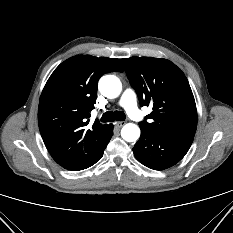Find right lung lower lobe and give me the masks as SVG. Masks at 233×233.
Masks as SVG:
<instances>
[{
  "instance_id": "obj_1",
  "label": "right lung lower lobe",
  "mask_w": 233,
  "mask_h": 233,
  "mask_svg": "<svg viewBox=\"0 0 233 233\" xmlns=\"http://www.w3.org/2000/svg\"><path fill=\"white\" fill-rule=\"evenodd\" d=\"M112 135H113V130L111 127H108V131H107L105 137L102 139V144L100 146L99 153L97 154V157L95 158L93 164H95L97 161H99L101 159V157L103 156V152H104L108 142L110 141Z\"/></svg>"
}]
</instances>
